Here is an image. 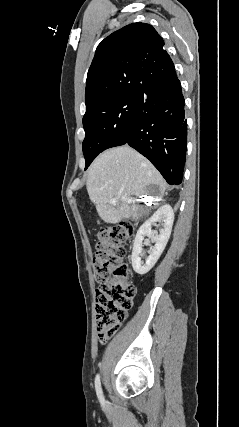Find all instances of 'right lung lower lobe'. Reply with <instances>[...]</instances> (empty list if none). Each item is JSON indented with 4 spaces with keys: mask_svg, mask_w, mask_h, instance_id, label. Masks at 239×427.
<instances>
[{
    "mask_svg": "<svg viewBox=\"0 0 239 427\" xmlns=\"http://www.w3.org/2000/svg\"><path fill=\"white\" fill-rule=\"evenodd\" d=\"M128 144L148 158L165 180L182 182L187 148L184 97L178 78L156 84L137 97Z\"/></svg>",
    "mask_w": 239,
    "mask_h": 427,
    "instance_id": "right-lung-lower-lobe-1",
    "label": "right lung lower lobe"
}]
</instances>
